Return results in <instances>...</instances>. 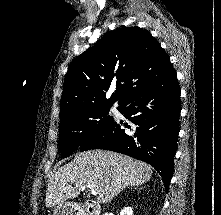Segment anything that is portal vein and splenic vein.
I'll return each instance as SVG.
<instances>
[{
  "label": "portal vein and splenic vein",
  "mask_w": 221,
  "mask_h": 215,
  "mask_svg": "<svg viewBox=\"0 0 221 215\" xmlns=\"http://www.w3.org/2000/svg\"><path fill=\"white\" fill-rule=\"evenodd\" d=\"M87 187L90 189V192L92 195H97L98 194V190L93 188L92 186L90 185H87Z\"/></svg>",
  "instance_id": "1"
}]
</instances>
